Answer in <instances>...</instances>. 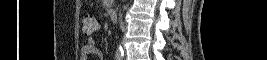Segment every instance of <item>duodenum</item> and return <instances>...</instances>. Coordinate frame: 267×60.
<instances>
[{
	"label": "duodenum",
	"instance_id": "1",
	"mask_svg": "<svg viewBox=\"0 0 267 60\" xmlns=\"http://www.w3.org/2000/svg\"><path fill=\"white\" fill-rule=\"evenodd\" d=\"M109 17L112 21H117L118 20V11L116 8H112L108 12Z\"/></svg>",
	"mask_w": 267,
	"mask_h": 60
}]
</instances>
